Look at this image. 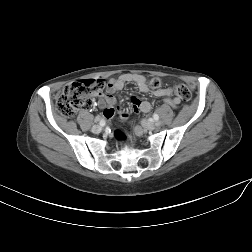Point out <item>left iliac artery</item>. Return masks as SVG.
I'll return each mask as SVG.
<instances>
[{"label":"left iliac artery","instance_id":"obj_1","mask_svg":"<svg viewBox=\"0 0 252 252\" xmlns=\"http://www.w3.org/2000/svg\"><path fill=\"white\" fill-rule=\"evenodd\" d=\"M153 119H154L155 121H158V120H159L158 114H154V115H153Z\"/></svg>","mask_w":252,"mask_h":252}]
</instances>
